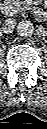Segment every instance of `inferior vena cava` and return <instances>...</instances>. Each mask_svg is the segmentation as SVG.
Instances as JSON below:
<instances>
[{
	"label": "inferior vena cava",
	"instance_id": "1",
	"mask_svg": "<svg viewBox=\"0 0 47 129\" xmlns=\"http://www.w3.org/2000/svg\"><path fill=\"white\" fill-rule=\"evenodd\" d=\"M15 25H16L15 19L9 18V19H7V20L5 21V23H4L2 29H3V31H4L5 33H10V32L13 31Z\"/></svg>",
	"mask_w": 47,
	"mask_h": 129
}]
</instances>
